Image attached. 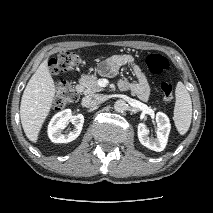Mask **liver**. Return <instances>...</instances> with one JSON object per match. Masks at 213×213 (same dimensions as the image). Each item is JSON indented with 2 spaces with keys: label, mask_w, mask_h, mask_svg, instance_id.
<instances>
[{
  "label": "liver",
  "mask_w": 213,
  "mask_h": 213,
  "mask_svg": "<svg viewBox=\"0 0 213 213\" xmlns=\"http://www.w3.org/2000/svg\"><path fill=\"white\" fill-rule=\"evenodd\" d=\"M55 96V85L44 60L30 78L21 99L20 118L27 138L36 143Z\"/></svg>",
  "instance_id": "1"
}]
</instances>
